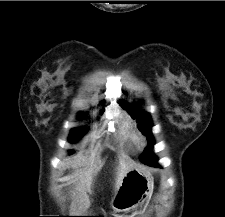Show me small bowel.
Instances as JSON below:
<instances>
[{"instance_id":"1","label":"small bowel","mask_w":225,"mask_h":217,"mask_svg":"<svg viewBox=\"0 0 225 217\" xmlns=\"http://www.w3.org/2000/svg\"><path fill=\"white\" fill-rule=\"evenodd\" d=\"M143 191L140 189H132L126 192L120 199V209L126 210L141 201Z\"/></svg>"}]
</instances>
